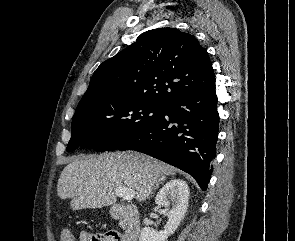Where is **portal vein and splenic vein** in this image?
Returning <instances> with one entry per match:
<instances>
[{
  "instance_id": "18ae733b",
  "label": "portal vein and splenic vein",
  "mask_w": 295,
  "mask_h": 241,
  "mask_svg": "<svg viewBox=\"0 0 295 241\" xmlns=\"http://www.w3.org/2000/svg\"><path fill=\"white\" fill-rule=\"evenodd\" d=\"M115 195L123 198L124 200L131 201L135 196V192L125 187H119L115 190Z\"/></svg>"
}]
</instances>
